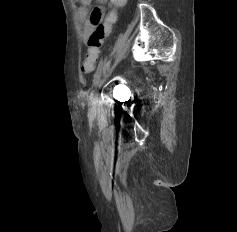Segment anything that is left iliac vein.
<instances>
[{"mask_svg":"<svg viewBox=\"0 0 237 232\" xmlns=\"http://www.w3.org/2000/svg\"><path fill=\"white\" fill-rule=\"evenodd\" d=\"M105 81V77H100L95 83V89L93 90V92L91 93L90 97H89V109L91 112L96 111L97 108V102H98V95H97V90L99 88H101V86L103 85Z\"/></svg>","mask_w":237,"mask_h":232,"instance_id":"left-iliac-vein-1","label":"left iliac vein"}]
</instances>
